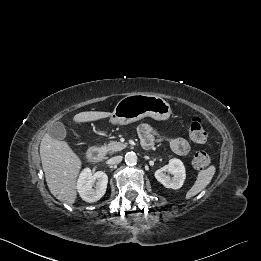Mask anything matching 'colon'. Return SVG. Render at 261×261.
<instances>
[{
    "label": "colon",
    "mask_w": 261,
    "mask_h": 261,
    "mask_svg": "<svg viewBox=\"0 0 261 261\" xmlns=\"http://www.w3.org/2000/svg\"><path fill=\"white\" fill-rule=\"evenodd\" d=\"M189 137L193 143L202 144L206 141L207 134L202 120L199 117H194L189 125ZM194 165L202 168L210 163V156L204 151H198L193 158Z\"/></svg>",
    "instance_id": "obj_1"
}]
</instances>
